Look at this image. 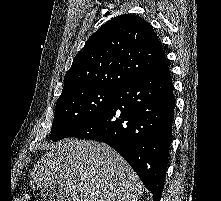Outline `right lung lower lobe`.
I'll use <instances>...</instances> for the list:
<instances>
[{
    "mask_svg": "<svg viewBox=\"0 0 221 201\" xmlns=\"http://www.w3.org/2000/svg\"><path fill=\"white\" fill-rule=\"evenodd\" d=\"M175 107L167 61L116 90L112 101L68 137L98 140L131 165L154 201L162 195Z\"/></svg>",
    "mask_w": 221,
    "mask_h": 201,
    "instance_id": "right-lung-lower-lobe-1",
    "label": "right lung lower lobe"
}]
</instances>
